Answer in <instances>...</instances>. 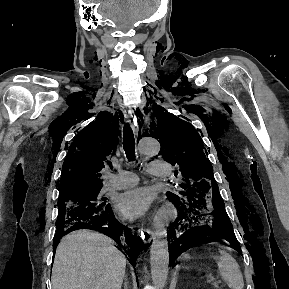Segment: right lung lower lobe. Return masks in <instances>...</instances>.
<instances>
[{
	"label": "right lung lower lobe",
	"mask_w": 289,
	"mask_h": 289,
	"mask_svg": "<svg viewBox=\"0 0 289 289\" xmlns=\"http://www.w3.org/2000/svg\"><path fill=\"white\" fill-rule=\"evenodd\" d=\"M78 229L96 230L109 236L120 245V251L127 254L129 262L135 267L138 252L142 250V241L137 231H130L129 228L124 227L123 224L115 218L111 206L103 213L81 217L61 234L57 233L53 241L54 253L59 240L67 233Z\"/></svg>",
	"instance_id": "98d812e1"
}]
</instances>
